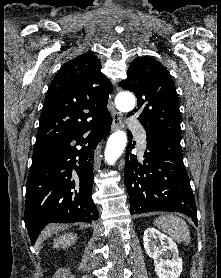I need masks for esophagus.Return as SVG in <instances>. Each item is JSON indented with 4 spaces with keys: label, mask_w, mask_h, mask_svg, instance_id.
Here are the masks:
<instances>
[{
    "label": "esophagus",
    "mask_w": 221,
    "mask_h": 278,
    "mask_svg": "<svg viewBox=\"0 0 221 278\" xmlns=\"http://www.w3.org/2000/svg\"><path fill=\"white\" fill-rule=\"evenodd\" d=\"M123 117L120 112L112 110V130L116 131L122 127Z\"/></svg>",
    "instance_id": "34e87169"
}]
</instances>
